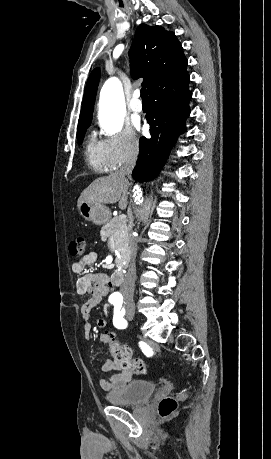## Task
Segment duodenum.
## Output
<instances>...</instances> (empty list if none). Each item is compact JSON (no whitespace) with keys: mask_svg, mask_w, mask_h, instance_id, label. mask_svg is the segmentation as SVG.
Wrapping results in <instances>:
<instances>
[{"mask_svg":"<svg viewBox=\"0 0 271 459\" xmlns=\"http://www.w3.org/2000/svg\"><path fill=\"white\" fill-rule=\"evenodd\" d=\"M111 283L115 286H119L123 283L124 281V273L122 270L117 269L113 272L111 275Z\"/></svg>","mask_w":271,"mask_h":459,"instance_id":"410a0bca","label":"duodenum"}]
</instances>
